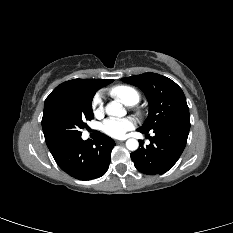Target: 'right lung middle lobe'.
<instances>
[{
	"instance_id": "obj_1",
	"label": "right lung middle lobe",
	"mask_w": 233,
	"mask_h": 233,
	"mask_svg": "<svg viewBox=\"0 0 233 233\" xmlns=\"http://www.w3.org/2000/svg\"><path fill=\"white\" fill-rule=\"evenodd\" d=\"M96 91H79L63 97L44 113L42 127L48 148L81 136L85 121L94 118L92 99Z\"/></svg>"
}]
</instances>
